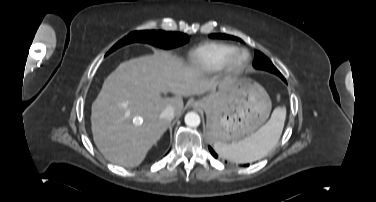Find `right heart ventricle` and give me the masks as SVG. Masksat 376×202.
<instances>
[{
	"instance_id": "1",
	"label": "right heart ventricle",
	"mask_w": 376,
	"mask_h": 202,
	"mask_svg": "<svg viewBox=\"0 0 376 202\" xmlns=\"http://www.w3.org/2000/svg\"><path fill=\"white\" fill-rule=\"evenodd\" d=\"M237 49L223 42L205 43L189 54V63L193 68L205 72H214L223 67L226 58Z\"/></svg>"
}]
</instances>
